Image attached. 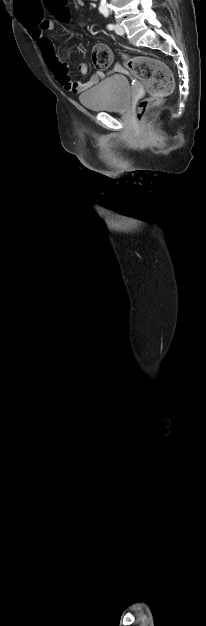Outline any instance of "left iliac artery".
Instances as JSON below:
<instances>
[{"instance_id": "obj_1", "label": "left iliac artery", "mask_w": 206, "mask_h": 626, "mask_svg": "<svg viewBox=\"0 0 206 626\" xmlns=\"http://www.w3.org/2000/svg\"><path fill=\"white\" fill-rule=\"evenodd\" d=\"M102 13H103V15H104L105 17H108V15H109L108 11H104V12H102ZM107 28H108L109 30H113V29H114V25H113V24H108V25H107Z\"/></svg>"}]
</instances>
